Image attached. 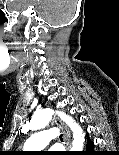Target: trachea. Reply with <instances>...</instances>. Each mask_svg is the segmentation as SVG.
<instances>
[{"label":"trachea","instance_id":"1","mask_svg":"<svg viewBox=\"0 0 119 155\" xmlns=\"http://www.w3.org/2000/svg\"><path fill=\"white\" fill-rule=\"evenodd\" d=\"M60 140L63 141V137H62V135H60Z\"/></svg>","mask_w":119,"mask_h":155}]
</instances>
